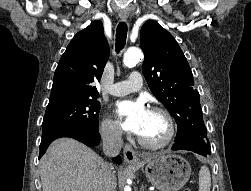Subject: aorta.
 Listing matches in <instances>:
<instances>
[{
    "instance_id": "1",
    "label": "aorta",
    "mask_w": 251,
    "mask_h": 191,
    "mask_svg": "<svg viewBox=\"0 0 251 191\" xmlns=\"http://www.w3.org/2000/svg\"><path fill=\"white\" fill-rule=\"evenodd\" d=\"M144 56L143 52L139 48H128L124 54L123 64L124 66H132V64H139L142 62Z\"/></svg>"
}]
</instances>
